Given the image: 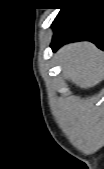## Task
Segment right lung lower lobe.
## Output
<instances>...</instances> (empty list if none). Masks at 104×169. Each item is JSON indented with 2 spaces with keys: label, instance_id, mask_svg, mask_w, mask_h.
<instances>
[{
  "label": "right lung lower lobe",
  "instance_id": "obj_1",
  "mask_svg": "<svg viewBox=\"0 0 104 169\" xmlns=\"http://www.w3.org/2000/svg\"><path fill=\"white\" fill-rule=\"evenodd\" d=\"M52 28L53 50L75 41H90L104 50V8L95 2L72 3L62 8Z\"/></svg>",
  "mask_w": 104,
  "mask_h": 169
}]
</instances>
